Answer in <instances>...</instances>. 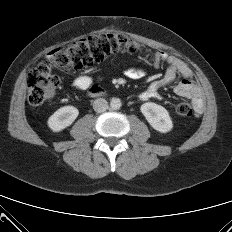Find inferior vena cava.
Returning a JSON list of instances; mask_svg holds the SVG:
<instances>
[{"label": "inferior vena cava", "instance_id": "inferior-vena-cava-1", "mask_svg": "<svg viewBox=\"0 0 232 232\" xmlns=\"http://www.w3.org/2000/svg\"><path fill=\"white\" fill-rule=\"evenodd\" d=\"M93 109L97 113H102L108 109V102L103 98H98L93 102Z\"/></svg>", "mask_w": 232, "mask_h": 232}]
</instances>
